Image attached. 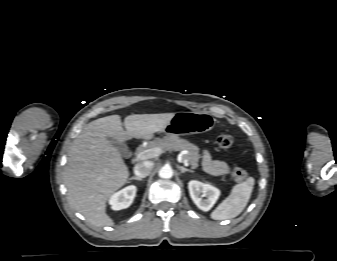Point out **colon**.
Listing matches in <instances>:
<instances>
[{"mask_svg": "<svg viewBox=\"0 0 337 261\" xmlns=\"http://www.w3.org/2000/svg\"><path fill=\"white\" fill-rule=\"evenodd\" d=\"M217 146L221 150H228L233 145V138L228 134H221L216 139ZM231 176L234 180L241 182L248 178L249 174L241 168H233L231 171Z\"/></svg>", "mask_w": 337, "mask_h": 261, "instance_id": "5ec220e1", "label": "colon"}]
</instances>
